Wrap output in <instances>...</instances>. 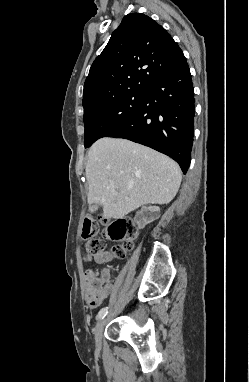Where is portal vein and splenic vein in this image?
Returning <instances> with one entry per match:
<instances>
[{
  "label": "portal vein and splenic vein",
  "mask_w": 249,
  "mask_h": 382,
  "mask_svg": "<svg viewBox=\"0 0 249 382\" xmlns=\"http://www.w3.org/2000/svg\"><path fill=\"white\" fill-rule=\"evenodd\" d=\"M112 193H113L114 195H117V192H116V191H112Z\"/></svg>",
  "instance_id": "portal-vein-and-splenic-vein-1"
}]
</instances>
